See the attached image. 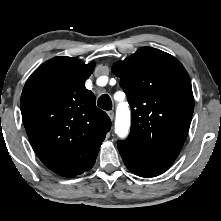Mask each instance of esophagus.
Wrapping results in <instances>:
<instances>
[{"mask_svg":"<svg viewBox=\"0 0 221 221\" xmlns=\"http://www.w3.org/2000/svg\"><path fill=\"white\" fill-rule=\"evenodd\" d=\"M107 114L111 120L114 119V112L113 111H108Z\"/></svg>","mask_w":221,"mask_h":221,"instance_id":"1","label":"esophagus"}]
</instances>
